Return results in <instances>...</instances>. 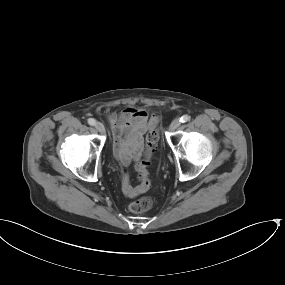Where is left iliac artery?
<instances>
[{
    "label": "left iliac artery",
    "mask_w": 285,
    "mask_h": 285,
    "mask_svg": "<svg viewBox=\"0 0 285 285\" xmlns=\"http://www.w3.org/2000/svg\"><path fill=\"white\" fill-rule=\"evenodd\" d=\"M190 120V116L188 115H183L181 118H180V122L181 123H186Z\"/></svg>",
    "instance_id": "44dca946"
}]
</instances>
